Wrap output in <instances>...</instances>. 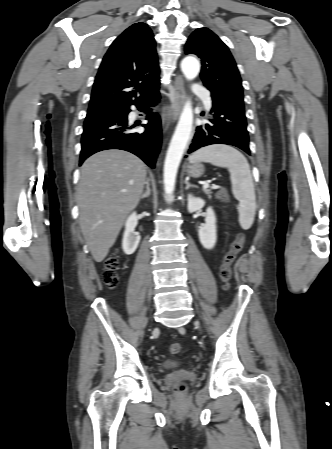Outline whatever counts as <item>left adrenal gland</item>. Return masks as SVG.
<instances>
[{"label":"left adrenal gland","mask_w":332,"mask_h":449,"mask_svg":"<svg viewBox=\"0 0 332 449\" xmlns=\"http://www.w3.org/2000/svg\"><path fill=\"white\" fill-rule=\"evenodd\" d=\"M185 184H186V187H185L186 190H188L190 187H196L195 185L190 184L187 180H185Z\"/></svg>","instance_id":"1"}]
</instances>
